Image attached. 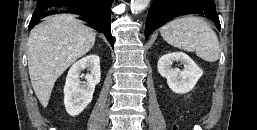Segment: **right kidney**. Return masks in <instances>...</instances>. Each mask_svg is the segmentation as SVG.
<instances>
[{
	"mask_svg": "<svg viewBox=\"0 0 257 130\" xmlns=\"http://www.w3.org/2000/svg\"><path fill=\"white\" fill-rule=\"evenodd\" d=\"M85 68L90 73L85 75L86 82L82 83L81 72ZM100 77V58L96 54L88 55L72 65L64 86V105L69 115H79L90 104Z\"/></svg>",
	"mask_w": 257,
	"mask_h": 130,
	"instance_id": "1",
	"label": "right kidney"
}]
</instances>
